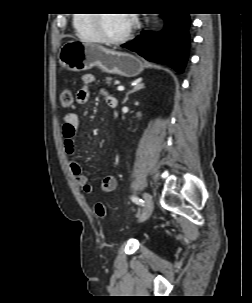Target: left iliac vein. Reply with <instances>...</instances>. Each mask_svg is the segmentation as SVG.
<instances>
[{"label": "left iliac vein", "instance_id": "1", "mask_svg": "<svg viewBox=\"0 0 252 303\" xmlns=\"http://www.w3.org/2000/svg\"><path fill=\"white\" fill-rule=\"evenodd\" d=\"M143 198L145 201V209H144L142 215L140 216V219H139L140 222L147 220L151 216L152 211L154 209V202H153L151 195L148 194L147 192H145L143 194Z\"/></svg>", "mask_w": 252, "mask_h": 303}]
</instances>
